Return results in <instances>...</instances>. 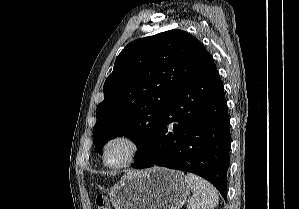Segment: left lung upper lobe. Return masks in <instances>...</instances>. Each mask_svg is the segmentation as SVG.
<instances>
[{
	"label": "left lung upper lobe",
	"instance_id": "1",
	"mask_svg": "<svg viewBox=\"0 0 299 209\" xmlns=\"http://www.w3.org/2000/svg\"><path fill=\"white\" fill-rule=\"evenodd\" d=\"M211 60L197 38L178 29L129 43L118 55L96 109L93 139L98 152L124 135L138 146L136 159L173 95Z\"/></svg>",
	"mask_w": 299,
	"mask_h": 209
}]
</instances>
